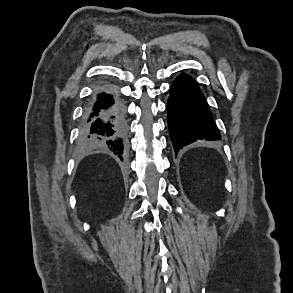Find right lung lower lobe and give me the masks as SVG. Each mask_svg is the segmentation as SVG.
Here are the masks:
<instances>
[{
  "instance_id": "right-lung-lower-lobe-1",
  "label": "right lung lower lobe",
  "mask_w": 293,
  "mask_h": 293,
  "mask_svg": "<svg viewBox=\"0 0 293 293\" xmlns=\"http://www.w3.org/2000/svg\"><path fill=\"white\" fill-rule=\"evenodd\" d=\"M80 139L88 146L107 147L121 160L127 146L125 110L112 87L99 89L84 109Z\"/></svg>"
}]
</instances>
